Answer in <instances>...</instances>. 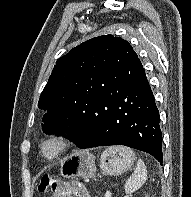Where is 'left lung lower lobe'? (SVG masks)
<instances>
[{
  "label": "left lung lower lobe",
  "instance_id": "1",
  "mask_svg": "<svg viewBox=\"0 0 191 197\" xmlns=\"http://www.w3.org/2000/svg\"><path fill=\"white\" fill-rule=\"evenodd\" d=\"M70 137L81 149L125 145L151 154L162 164L159 111L144 69L129 74L101 99Z\"/></svg>",
  "mask_w": 191,
  "mask_h": 197
}]
</instances>
